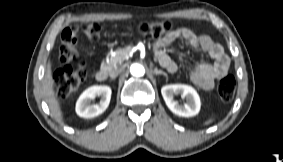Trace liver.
I'll use <instances>...</instances> for the list:
<instances>
[{
	"label": "liver",
	"instance_id": "1",
	"mask_svg": "<svg viewBox=\"0 0 283 162\" xmlns=\"http://www.w3.org/2000/svg\"><path fill=\"white\" fill-rule=\"evenodd\" d=\"M43 94L53 117L58 122H63V115L60 104L54 93V80L52 78L50 62H48L47 64L43 78Z\"/></svg>",
	"mask_w": 283,
	"mask_h": 162
}]
</instances>
